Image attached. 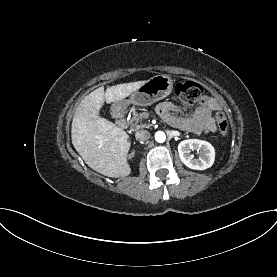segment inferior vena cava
Instances as JSON below:
<instances>
[{
	"instance_id": "1",
	"label": "inferior vena cava",
	"mask_w": 277,
	"mask_h": 277,
	"mask_svg": "<svg viewBox=\"0 0 277 277\" xmlns=\"http://www.w3.org/2000/svg\"><path fill=\"white\" fill-rule=\"evenodd\" d=\"M135 137L139 141H146L150 138V132L146 130H140L136 132Z\"/></svg>"
}]
</instances>
